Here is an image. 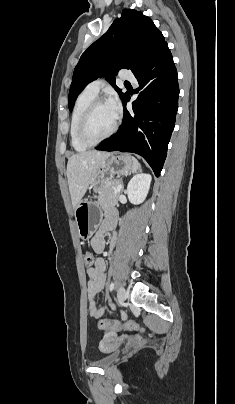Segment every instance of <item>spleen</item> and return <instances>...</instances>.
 I'll return each instance as SVG.
<instances>
[{
  "instance_id": "3e777b00",
  "label": "spleen",
  "mask_w": 235,
  "mask_h": 404,
  "mask_svg": "<svg viewBox=\"0 0 235 404\" xmlns=\"http://www.w3.org/2000/svg\"><path fill=\"white\" fill-rule=\"evenodd\" d=\"M132 159H133V164H134L133 172H136V170L140 168V164H139V162L137 161L136 158L132 157Z\"/></svg>"
}]
</instances>
